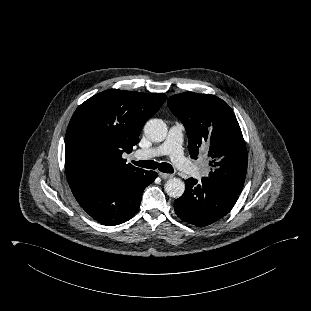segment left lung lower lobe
Wrapping results in <instances>:
<instances>
[{
  "label": "left lung lower lobe",
  "instance_id": "1",
  "mask_svg": "<svg viewBox=\"0 0 311 311\" xmlns=\"http://www.w3.org/2000/svg\"><path fill=\"white\" fill-rule=\"evenodd\" d=\"M185 186L184 194L174 202V210L181 220L200 227L224 217L239 196L208 177L201 181L190 178Z\"/></svg>",
  "mask_w": 311,
  "mask_h": 311
}]
</instances>
